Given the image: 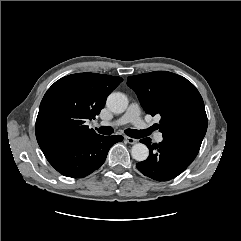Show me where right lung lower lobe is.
<instances>
[{
    "label": "right lung lower lobe",
    "instance_id": "1",
    "mask_svg": "<svg viewBox=\"0 0 241 241\" xmlns=\"http://www.w3.org/2000/svg\"><path fill=\"white\" fill-rule=\"evenodd\" d=\"M123 137L93 135L52 145L43 153L48 162L62 175L81 178L89 175L104 163L110 147Z\"/></svg>",
    "mask_w": 241,
    "mask_h": 241
}]
</instances>
